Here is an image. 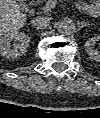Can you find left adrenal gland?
<instances>
[{"label": "left adrenal gland", "mask_w": 100, "mask_h": 118, "mask_svg": "<svg viewBox=\"0 0 100 118\" xmlns=\"http://www.w3.org/2000/svg\"><path fill=\"white\" fill-rule=\"evenodd\" d=\"M77 24H78V30H80L83 27H86V26L90 25L89 23H87L85 21H81V22L78 21Z\"/></svg>", "instance_id": "a2214340"}]
</instances>
